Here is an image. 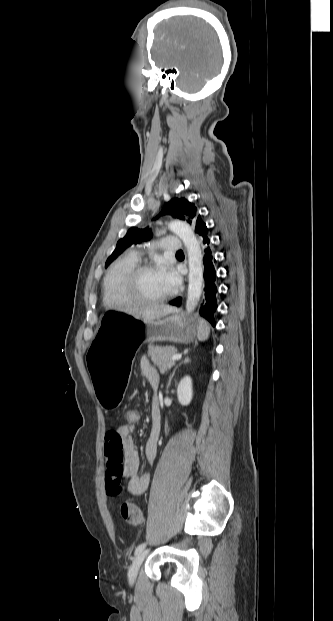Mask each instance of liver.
I'll list each match as a JSON object with an SVG mask.
<instances>
[{
	"label": "liver",
	"mask_w": 333,
	"mask_h": 621,
	"mask_svg": "<svg viewBox=\"0 0 333 621\" xmlns=\"http://www.w3.org/2000/svg\"><path fill=\"white\" fill-rule=\"evenodd\" d=\"M175 311H177V309L172 306L160 304L145 308L141 311L129 312V314L134 316L136 319H141L149 322L161 319Z\"/></svg>",
	"instance_id": "6515ba94"
}]
</instances>
